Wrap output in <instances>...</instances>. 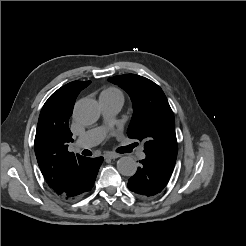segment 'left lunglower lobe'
<instances>
[{"mask_svg": "<svg viewBox=\"0 0 246 246\" xmlns=\"http://www.w3.org/2000/svg\"><path fill=\"white\" fill-rule=\"evenodd\" d=\"M140 162L141 166L129 179L127 186L139 197L150 198L166 187L174 168L148 155Z\"/></svg>", "mask_w": 246, "mask_h": 246, "instance_id": "obj_1", "label": "left lung lower lobe"}]
</instances>
